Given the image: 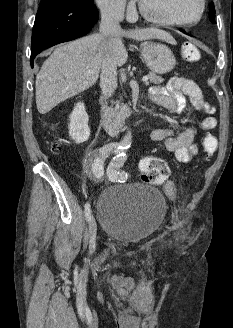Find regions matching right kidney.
<instances>
[{
  "instance_id": "ca27d5eb",
  "label": "right kidney",
  "mask_w": 233,
  "mask_h": 328,
  "mask_svg": "<svg viewBox=\"0 0 233 328\" xmlns=\"http://www.w3.org/2000/svg\"><path fill=\"white\" fill-rule=\"evenodd\" d=\"M69 118V135L71 139L78 144L87 141L90 136V128L88 126L89 117L84 104L77 103Z\"/></svg>"
}]
</instances>
